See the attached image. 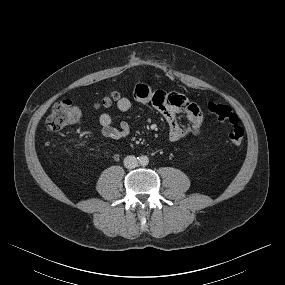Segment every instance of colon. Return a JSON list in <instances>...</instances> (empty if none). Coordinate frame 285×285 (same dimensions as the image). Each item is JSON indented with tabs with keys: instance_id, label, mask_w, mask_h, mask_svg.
Here are the masks:
<instances>
[{
	"instance_id": "colon-1",
	"label": "colon",
	"mask_w": 285,
	"mask_h": 285,
	"mask_svg": "<svg viewBox=\"0 0 285 285\" xmlns=\"http://www.w3.org/2000/svg\"><path fill=\"white\" fill-rule=\"evenodd\" d=\"M118 97L117 91H110L101 99L98 105L109 106ZM208 114L229 126L228 138L232 144L240 145L242 143L245 130L230 107L212 103L208 106ZM81 119V108L70 100H62L52 107L51 113L46 120V126L51 131H59L66 126L79 123Z\"/></svg>"
}]
</instances>
